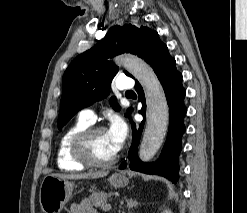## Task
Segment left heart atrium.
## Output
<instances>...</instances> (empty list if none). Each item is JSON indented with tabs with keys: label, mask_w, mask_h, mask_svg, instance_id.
Segmentation results:
<instances>
[{
	"label": "left heart atrium",
	"mask_w": 247,
	"mask_h": 213,
	"mask_svg": "<svg viewBox=\"0 0 247 213\" xmlns=\"http://www.w3.org/2000/svg\"><path fill=\"white\" fill-rule=\"evenodd\" d=\"M127 132V125L121 118L115 117L111 120L107 133L116 152L122 148Z\"/></svg>",
	"instance_id": "1"
}]
</instances>
